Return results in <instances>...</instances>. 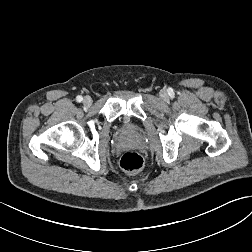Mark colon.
<instances>
[{"instance_id": "5ec220e1", "label": "colon", "mask_w": 252, "mask_h": 252, "mask_svg": "<svg viewBox=\"0 0 252 252\" xmlns=\"http://www.w3.org/2000/svg\"><path fill=\"white\" fill-rule=\"evenodd\" d=\"M144 159L136 152H127L120 159L121 168L128 173H136L143 168Z\"/></svg>"}]
</instances>
